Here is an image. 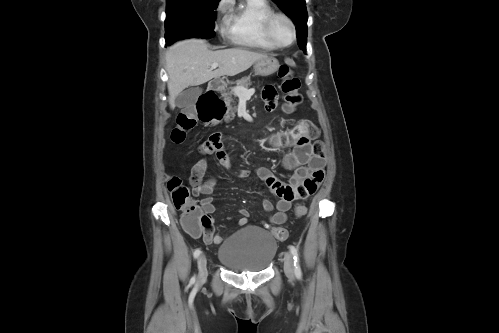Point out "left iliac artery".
Returning <instances> with one entry per match:
<instances>
[{
    "label": "left iliac artery",
    "mask_w": 499,
    "mask_h": 333,
    "mask_svg": "<svg viewBox=\"0 0 499 333\" xmlns=\"http://www.w3.org/2000/svg\"><path fill=\"white\" fill-rule=\"evenodd\" d=\"M289 248H290V252L293 255V259H294V271H295V275H296V277L298 279H300L301 276H302V272H301V268H300V264H299L298 250H297V248H295L292 245Z\"/></svg>",
    "instance_id": "obj_1"
}]
</instances>
